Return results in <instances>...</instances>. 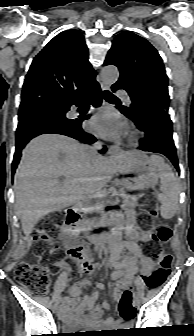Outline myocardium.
I'll list each match as a JSON object with an SVG mask.
<instances>
[{
    "label": "myocardium",
    "mask_w": 194,
    "mask_h": 336,
    "mask_svg": "<svg viewBox=\"0 0 194 336\" xmlns=\"http://www.w3.org/2000/svg\"><path fill=\"white\" fill-rule=\"evenodd\" d=\"M142 139V134L134 127H129L126 132V140L131 145H137Z\"/></svg>",
    "instance_id": "1"
}]
</instances>
